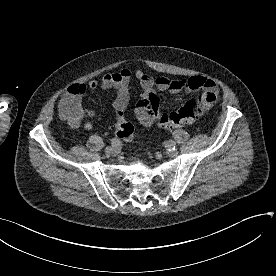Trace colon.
I'll list each match as a JSON object with an SVG mask.
<instances>
[{
	"label": "colon",
	"instance_id": "obj_1",
	"mask_svg": "<svg viewBox=\"0 0 276 276\" xmlns=\"http://www.w3.org/2000/svg\"><path fill=\"white\" fill-rule=\"evenodd\" d=\"M202 112L200 104L190 100L175 112L162 113L160 112V98L154 92L148 93L137 103V114L143 122L156 124L164 129L195 124L199 121ZM61 114L66 120H74L78 117L79 112L77 108L67 106L62 110ZM115 130L117 137L121 140L129 142L133 139L134 127L127 120L123 111H116Z\"/></svg>",
	"mask_w": 276,
	"mask_h": 276
}]
</instances>
